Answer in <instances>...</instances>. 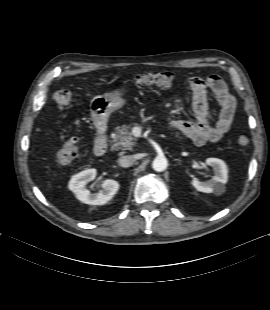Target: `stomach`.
Wrapping results in <instances>:
<instances>
[{
  "instance_id": "0dacf381",
  "label": "stomach",
  "mask_w": 270,
  "mask_h": 310,
  "mask_svg": "<svg viewBox=\"0 0 270 310\" xmlns=\"http://www.w3.org/2000/svg\"><path fill=\"white\" fill-rule=\"evenodd\" d=\"M126 89L124 87L115 89L109 93L95 96L90 102L91 118L97 128L102 127L108 121L112 112L120 109L126 103L123 98Z\"/></svg>"
}]
</instances>
